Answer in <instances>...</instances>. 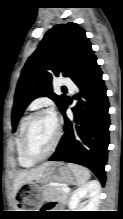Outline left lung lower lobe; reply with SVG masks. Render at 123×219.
<instances>
[{
    "label": "left lung lower lobe",
    "mask_w": 123,
    "mask_h": 219,
    "mask_svg": "<svg viewBox=\"0 0 123 219\" xmlns=\"http://www.w3.org/2000/svg\"><path fill=\"white\" fill-rule=\"evenodd\" d=\"M79 88L74 96L77 105L72 108L74 119L66 117L70 103L62 108L65 119L64 134L51 161H66L91 169L104 185L105 165L109 145V103L102 71L96 56L89 59L72 79Z\"/></svg>",
    "instance_id": "0a47b994"
}]
</instances>
